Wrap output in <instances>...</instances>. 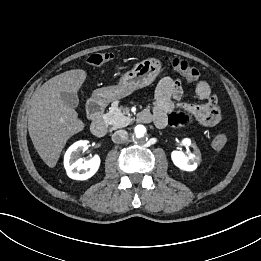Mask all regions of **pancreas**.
Wrapping results in <instances>:
<instances>
[{
    "mask_svg": "<svg viewBox=\"0 0 261 261\" xmlns=\"http://www.w3.org/2000/svg\"><path fill=\"white\" fill-rule=\"evenodd\" d=\"M104 121L111 130H116L127 126L131 118L124 115L122 109L118 107V102L112 103L109 112L105 114Z\"/></svg>",
    "mask_w": 261,
    "mask_h": 261,
    "instance_id": "pancreas-1",
    "label": "pancreas"
}]
</instances>
